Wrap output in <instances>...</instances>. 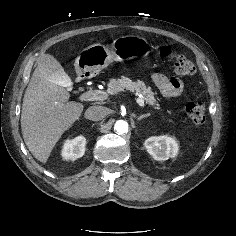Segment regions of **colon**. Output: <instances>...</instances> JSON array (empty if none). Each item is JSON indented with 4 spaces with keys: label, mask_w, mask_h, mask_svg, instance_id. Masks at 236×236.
Wrapping results in <instances>:
<instances>
[{
    "label": "colon",
    "mask_w": 236,
    "mask_h": 236,
    "mask_svg": "<svg viewBox=\"0 0 236 236\" xmlns=\"http://www.w3.org/2000/svg\"><path fill=\"white\" fill-rule=\"evenodd\" d=\"M160 55L173 61L174 71L178 75L189 76L195 72V65L190 59L173 53L168 46L160 50ZM185 111L195 124H202L206 120L205 105L198 99L188 101L185 105Z\"/></svg>",
    "instance_id": "colon-1"
}]
</instances>
